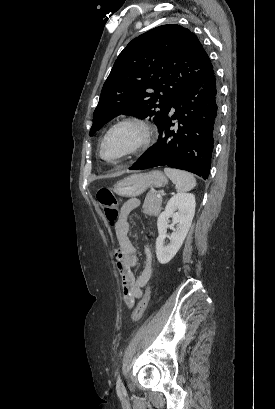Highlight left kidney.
I'll use <instances>...</instances> for the list:
<instances>
[{
  "mask_svg": "<svg viewBox=\"0 0 275 409\" xmlns=\"http://www.w3.org/2000/svg\"><path fill=\"white\" fill-rule=\"evenodd\" d=\"M196 207V200L194 194L191 192H181V194H174L168 200L165 211L158 217V237L156 239V257L161 265L169 263L176 253H178L187 233L191 227L192 219L194 217ZM179 211V213H174ZM169 217H173V225H168ZM177 225L175 233H172L170 245H164L167 237L168 227Z\"/></svg>",
  "mask_w": 275,
  "mask_h": 409,
  "instance_id": "obj_1",
  "label": "left kidney"
}]
</instances>
